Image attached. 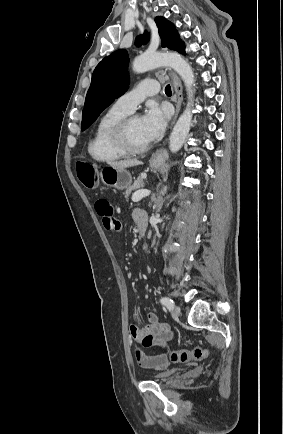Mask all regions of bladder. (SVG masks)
Listing matches in <instances>:
<instances>
[{
  "instance_id": "obj_1",
  "label": "bladder",
  "mask_w": 283,
  "mask_h": 434,
  "mask_svg": "<svg viewBox=\"0 0 283 434\" xmlns=\"http://www.w3.org/2000/svg\"><path fill=\"white\" fill-rule=\"evenodd\" d=\"M176 373V369L172 368V369H166L157 373H154L153 375H151V378L154 380H166L168 378H170L171 376H173Z\"/></svg>"
}]
</instances>
